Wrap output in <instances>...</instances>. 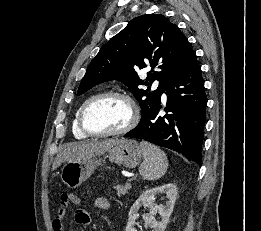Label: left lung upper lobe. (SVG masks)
Segmentation results:
<instances>
[{
    "mask_svg": "<svg viewBox=\"0 0 261 231\" xmlns=\"http://www.w3.org/2000/svg\"><path fill=\"white\" fill-rule=\"evenodd\" d=\"M195 57L185 35L166 17L139 16L100 49L82 78L78 95L99 83L119 80L130 88L143 116L160 101L169 79L187 69ZM149 67L147 81L141 80L137 71ZM155 79L159 86L153 92L140 88Z\"/></svg>",
    "mask_w": 261,
    "mask_h": 231,
    "instance_id": "5c2ea615",
    "label": "left lung upper lobe"
}]
</instances>
